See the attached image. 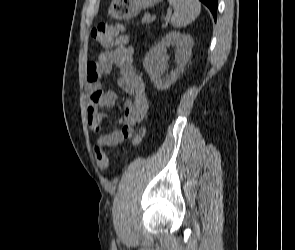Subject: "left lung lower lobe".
Segmentation results:
<instances>
[{
	"instance_id": "0a47b994",
	"label": "left lung lower lobe",
	"mask_w": 295,
	"mask_h": 250,
	"mask_svg": "<svg viewBox=\"0 0 295 250\" xmlns=\"http://www.w3.org/2000/svg\"><path fill=\"white\" fill-rule=\"evenodd\" d=\"M204 3L212 12L213 17L216 19L218 0H200Z\"/></svg>"
}]
</instances>
